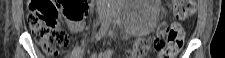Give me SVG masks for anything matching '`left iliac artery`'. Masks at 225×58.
<instances>
[{"label": "left iliac artery", "instance_id": "obj_1", "mask_svg": "<svg viewBox=\"0 0 225 58\" xmlns=\"http://www.w3.org/2000/svg\"><path fill=\"white\" fill-rule=\"evenodd\" d=\"M115 22H116V23L120 26V21H119V18L117 19V17H116Z\"/></svg>", "mask_w": 225, "mask_h": 58}]
</instances>
